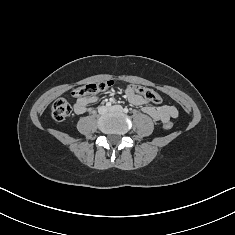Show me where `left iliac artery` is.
<instances>
[{"mask_svg": "<svg viewBox=\"0 0 235 235\" xmlns=\"http://www.w3.org/2000/svg\"><path fill=\"white\" fill-rule=\"evenodd\" d=\"M123 111H124L125 113H128L129 110H128V108H124Z\"/></svg>", "mask_w": 235, "mask_h": 235, "instance_id": "44dca946", "label": "left iliac artery"}]
</instances>
